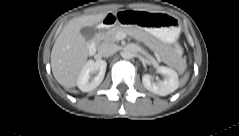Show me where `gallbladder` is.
<instances>
[{
	"instance_id": "1",
	"label": "gallbladder",
	"mask_w": 239,
	"mask_h": 136,
	"mask_svg": "<svg viewBox=\"0 0 239 136\" xmlns=\"http://www.w3.org/2000/svg\"><path fill=\"white\" fill-rule=\"evenodd\" d=\"M81 35L86 40H91L95 36V28L92 26H85L80 30Z\"/></svg>"
}]
</instances>
